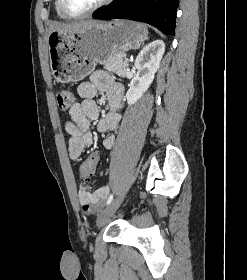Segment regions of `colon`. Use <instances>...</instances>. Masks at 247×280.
<instances>
[{"mask_svg": "<svg viewBox=\"0 0 247 280\" xmlns=\"http://www.w3.org/2000/svg\"><path fill=\"white\" fill-rule=\"evenodd\" d=\"M74 95L71 91L61 90L57 94V104L61 111L66 112L70 110L74 104ZM103 150L100 148H95L94 153H92L86 161L80 167V177L82 179L81 189L87 190L89 186L86 184V180L92 177L95 173V167L100 160V154Z\"/></svg>", "mask_w": 247, "mask_h": 280, "instance_id": "5ec220e1", "label": "colon"}]
</instances>
